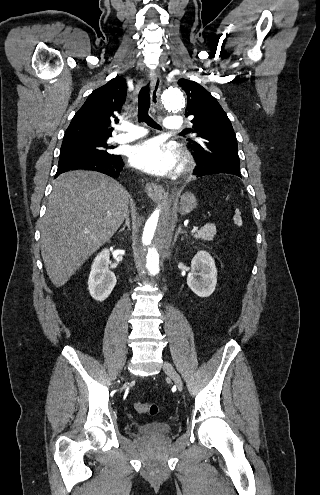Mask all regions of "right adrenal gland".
Segmentation results:
<instances>
[{
	"label": "right adrenal gland",
	"mask_w": 320,
	"mask_h": 495,
	"mask_svg": "<svg viewBox=\"0 0 320 495\" xmlns=\"http://www.w3.org/2000/svg\"><path fill=\"white\" fill-rule=\"evenodd\" d=\"M126 228H128L130 230V219H129V215L126 216V221H125V224L123 225V227L119 230V233L124 231Z\"/></svg>",
	"instance_id": "obj_1"
}]
</instances>
